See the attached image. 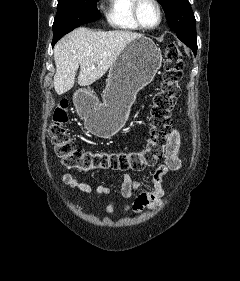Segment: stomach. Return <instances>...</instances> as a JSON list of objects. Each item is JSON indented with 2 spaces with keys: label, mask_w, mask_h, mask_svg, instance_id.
<instances>
[{
  "label": "stomach",
  "mask_w": 240,
  "mask_h": 281,
  "mask_svg": "<svg viewBox=\"0 0 240 281\" xmlns=\"http://www.w3.org/2000/svg\"><path fill=\"white\" fill-rule=\"evenodd\" d=\"M161 64V52L150 38L131 41L110 67L102 103L86 90L79 92L78 99L75 96L87 130L98 137L113 136L125 123L136 94L153 81Z\"/></svg>",
  "instance_id": "stomach-1"
}]
</instances>
